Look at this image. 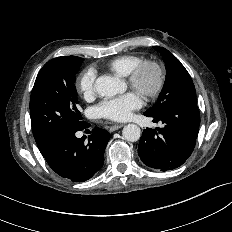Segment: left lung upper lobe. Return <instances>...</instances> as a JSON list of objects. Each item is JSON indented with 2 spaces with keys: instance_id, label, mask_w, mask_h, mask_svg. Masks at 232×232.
I'll list each match as a JSON object with an SVG mask.
<instances>
[{
  "instance_id": "5c2ea615",
  "label": "left lung upper lobe",
  "mask_w": 232,
  "mask_h": 232,
  "mask_svg": "<svg viewBox=\"0 0 232 232\" xmlns=\"http://www.w3.org/2000/svg\"><path fill=\"white\" fill-rule=\"evenodd\" d=\"M160 52L166 67V80L157 102L148 113H159L179 102L196 105V91L192 79L181 62L167 49L154 47Z\"/></svg>"
}]
</instances>
